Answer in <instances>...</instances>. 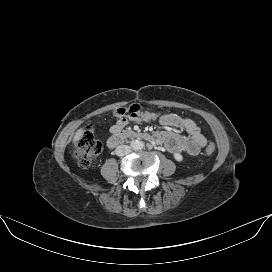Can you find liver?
Instances as JSON below:
<instances>
[{"mask_svg": "<svg viewBox=\"0 0 272 272\" xmlns=\"http://www.w3.org/2000/svg\"><path fill=\"white\" fill-rule=\"evenodd\" d=\"M83 133H84L83 128H80L74 135L73 143H76L77 141H79L81 139Z\"/></svg>", "mask_w": 272, "mask_h": 272, "instance_id": "obj_1", "label": "liver"}]
</instances>
